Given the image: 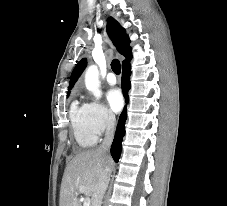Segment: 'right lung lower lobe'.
Here are the masks:
<instances>
[{
  "label": "right lung lower lobe",
  "mask_w": 227,
  "mask_h": 206,
  "mask_svg": "<svg viewBox=\"0 0 227 206\" xmlns=\"http://www.w3.org/2000/svg\"><path fill=\"white\" fill-rule=\"evenodd\" d=\"M130 75H131V66L128 63V64L122 66V87H123V92L125 95L126 102H128L127 93L131 87ZM126 118H127V110L125 107L119 117L116 133H115L114 140H113V143L111 146V155L116 162H118L120 154H121V143H122L123 136L125 135Z\"/></svg>",
  "instance_id": "1"
}]
</instances>
